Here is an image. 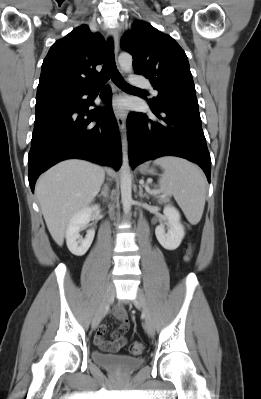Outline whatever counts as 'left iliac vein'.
<instances>
[{
	"label": "left iliac vein",
	"mask_w": 261,
	"mask_h": 399,
	"mask_svg": "<svg viewBox=\"0 0 261 399\" xmlns=\"http://www.w3.org/2000/svg\"><path fill=\"white\" fill-rule=\"evenodd\" d=\"M133 303L136 307H140L143 311L145 317V329L148 335L151 337L154 336L155 326H154L153 317L147 299L141 290L137 291V295L136 298L133 300Z\"/></svg>",
	"instance_id": "4c4485c4"
}]
</instances>
